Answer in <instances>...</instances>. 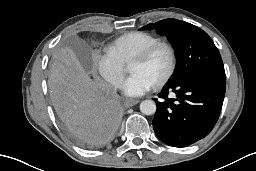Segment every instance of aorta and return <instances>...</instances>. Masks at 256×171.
Wrapping results in <instances>:
<instances>
[{
    "mask_svg": "<svg viewBox=\"0 0 256 171\" xmlns=\"http://www.w3.org/2000/svg\"><path fill=\"white\" fill-rule=\"evenodd\" d=\"M140 111L144 115H152L156 112V104L153 100H144L140 103Z\"/></svg>",
    "mask_w": 256,
    "mask_h": 171,
    "instance_id": "762f6f07",
    "label": "aorta"
}]
</instances>
